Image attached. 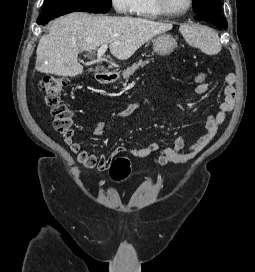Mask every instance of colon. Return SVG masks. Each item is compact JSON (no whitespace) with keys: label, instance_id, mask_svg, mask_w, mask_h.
<instances>
[{"label":"colon","instance_id":"colon-1","mask_svg":"<svg viewBox=\"0 0 255 272\" xmlns=\"http://www.w3.org/2000/svg\"><path fill=\"white\" fill-rule=\"evenodd\" d=\"M207 74L198 72L195 81L198 84L205 83ZM69 79L63 76L48 75L40 81V90L44 95L46 104L51 109L53 127L63 134L65 138L73 135V120L71 111L61 103L60 97L69 85ZM130 173V161L126 158L116 159L110 167V176L115 181H120Z\"/></svg>","mask_w":255,"mask_h":272}]
</instances>
